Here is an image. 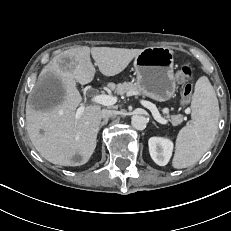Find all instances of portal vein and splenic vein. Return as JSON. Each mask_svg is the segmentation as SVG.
<instances>
[{
    "label": "portal vein and splenic vein",
    "instance_id": "obj_1",
    "mask_svg": "<svg viewBox=\"0 0 231 231\" xmlns=\"http://www.w3.org/2000/svg\"><path fill=\"white\" fill-rule=\"evenodd\" d=\"M90 101L93 103L104 105V106H111L117 102V98L114 96L106 95V94H99V95H94ZM142 105L151 111L154 119L158 123L160 124L168 123L167 119H164L161 117L157 107L153 103L149 101H142ZM84 110H85V105L81 104L80 107L76 110V115H75L76 119H78L82 115Z\"/></svg>",
    "mask_w": 231,
    "mask_h": 231
}]
</instances>
